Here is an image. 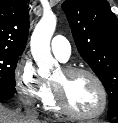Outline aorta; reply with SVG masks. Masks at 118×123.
<instances>
[{"mask_svg":"<svg viewBox=\"0 0 118 123\" xmlns=\"http://www.w3.org/2000/svg\"><path fill=\"white\" fill-rule=\"evenodd\" d=\"M56 22L55 15H44L31 36V53L39 67L38 74L41 77L50 76L51 70L57 65V61L50 52V41L56 28Z\"/></svg>","mask_w":118,"mask_h":123,"instance_id":"aorta-1","label":"aorta"}]
</instances>
